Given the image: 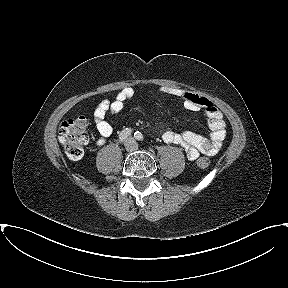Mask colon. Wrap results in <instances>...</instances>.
<instances>
[{
  "instance_id": "1",
  "label": "colon",
  "mask_w": 288,
  "mask_h": 288,
  "mask_svg": "<svg viewBox=\"0 0 288 288\" xmlns=\"http://www.w3.org/2000/svg\"><path fill=\"white\" fill-rule=\"evenodd\" d=\"M88 120L83 117L69 118L59 127L58 139L64 146L67 156L72 160H79L84 154L88 143ZM198 167L205 169L210 165L207 157L197 159Z\"/></svg>"
}]
</instances>
